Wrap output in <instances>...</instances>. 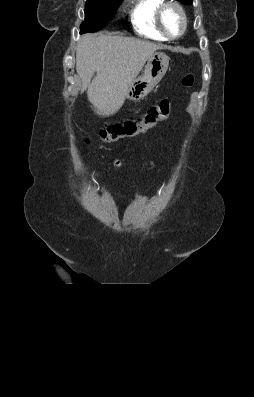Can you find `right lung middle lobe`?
Listing matches in <instances>:
<instances>
[{"label": "right lung middle lobe", "mask_w": 254, "mask_h": 397, "mask_svg": "<svg viewBox=\"0 0 254 397\" xmlns=\"http://www.w3.org/2000/svg\"><path fill=\"white\" fill-rule=\"evenodd\" d=\"M123 0H87L85 5V20L80 26V33L96 32L102 29Z\"/></svg>", "instance_id": "dd1d6c3e"}]
</instances>
